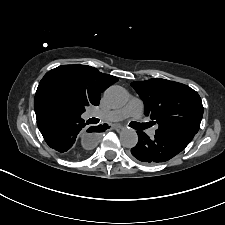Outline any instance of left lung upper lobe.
Returning a JSON list of instances; mask_svg holds the SVG:
<instances>
[{
    "label": "left lung upper lobe",
    "mask_w": 225,
    "mask_h": 225,
    "mask_svg": "<svg viewBox=\"0 0 225 225\" xmlns=\"http://www.w3.org/2000/svg\"><path fill=\"white\" fill-rule=\"evenodd\" d=\"M131 85L144 101L145 115L158 123L156 133L198 132L203 105L192 88L160 78L135 81Z\"/></svg>",
    "instance_id": "1"
}]
</instances>
